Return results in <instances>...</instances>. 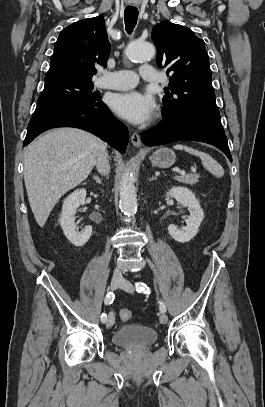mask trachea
I'll return each mask as SVG.
<instances>
[{"instance_id": "obj_1", "label": "trachea", "mask_w": 265, "mask_h": 407, "mask_svg": "<svg viewBox=\"0 0 265 407\" xmlns=\"http://www.w3.org/2000/svg\"><path fill=\"white\" fill-rule=\"evenodd\" d=\"M126 31L131 33L137 24L138 10L135 7H126L124 11Z\"/></svg>"}]
</instances>
